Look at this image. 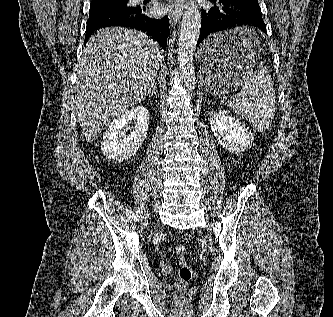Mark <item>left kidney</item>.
I'll return each mask as SVG.
<instances>
[{
  "label": "left kidney",
  "instance_id": "1",
  "mask_svg": "<svg viewBox=\"0 0 333 317\" xmlns=\"http://www.w3.org/2000/svg\"><path fill=\"white\" fill-rule=\"evenodd\" d=\"M211 130L218 143L230 152L245 151L254 141L249 128L231 116L227 111L218 109L209 114Z\"/></svg>",
  "mask_w": 333,
  "mask_h": 317
}]
</instances>
